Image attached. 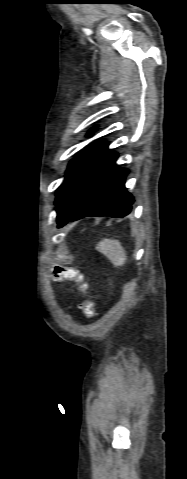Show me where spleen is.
Listing matches in <instances>:
<instances>
[{
    "instance_id": "spleen-1",
    "label": "spleen",
    "mask_w": 187,
    "mask_h": 479,
    "mask_svg": "<svg viewBox=\"0 0 187 479\" xmlns=\"http://www.w3.org/2000/svg\"><path fill=\"white\" fill-rule=\"evenodd\" d=\"M96 250L104 254L111 263L116 266H123L127 260L125 250L121 243L115 239H103L96 245Z\"/></svg>"
}]
</instances>
